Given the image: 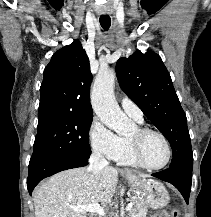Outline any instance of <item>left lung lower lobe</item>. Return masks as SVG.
Returning <instances> with one entry per match:
<instances>
[{
	"mask_svg": "<svg viewBox=\"0 0 211 217\" xmlns=\"http://www.w3.org/2000/svg\"><path fill=\"white\" fill-rule=\"evenodd\" d=\"M152 176L173 184L188 204L192 184V168L169 167L166 170L152 174Z\"/></svg>",
	"mask_w": 211,
	"mask_h": 217,
	"instance_id": "left-lung-lower-lobe-1",
	"label": "left lung lower lobe"
}]
</instances>
